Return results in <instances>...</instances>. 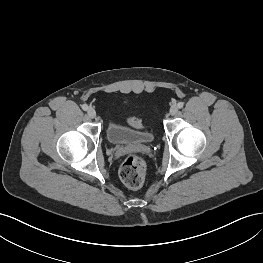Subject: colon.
I'll return each mask as SVG.
<instances>
[{
    "mask_svg": "<svg viewBox=\"0 0 263 263\" xmlns=\"http://www.w3.org/2000/svg\"><path fill=\"white\" fill-rule=\"evenodd\" d=\"M130 123L134 127L140 126L137 119H132ZM145 173L146 162L142 156L137 154L128 155L119 170L121 181L129 188H139L144 182Z\"/></svg>",
    "mask_w": 263,
    "mask_h": 263,
    "instance_id": "obj_1",
    "label": "colon"
}]
</instances>
